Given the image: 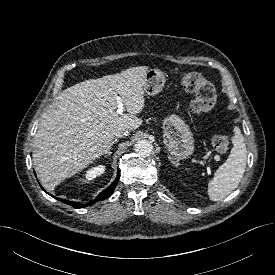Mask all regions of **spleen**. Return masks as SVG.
Wrapping results in <instances>:
<instances>
[{
  "label": "spleen",
  "instance_id": "1",
  "mask_svg": "<svg viewBox=\"0 0 275 275\" xmlns=\"http://www.w3.org/2000/svg\"><path fill=\"white\" fill-rule=\"evenodd\" d=\"M233 147L226 162L222 164L208 183V195L212 201H220L239 185L246 168L247 149L239 127L234 128Z\"/></svg>",
  "mask_w": 275,
  "mask_h": 275
}]
</instances>
